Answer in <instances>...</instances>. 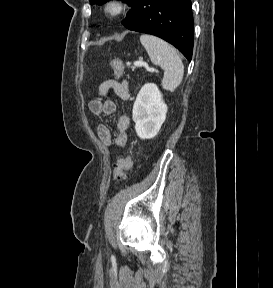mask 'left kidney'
<instances>
[{"label":"left kidney","mask_w":273,"mask_h":288,"mask_svg":"<svg viewBox=\"0 0 273 288\" xmlns=\"http://www.w3.org/2000/svg\"><path fill=\"white\" fill-rule=\"evenodd\" d=\"M167 105L154 83H146L139 91L133 105L132 118L141 139H152L165 121Z\"/></svg>","instance_id":"obj_1"}]
</instances>
